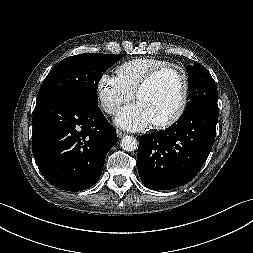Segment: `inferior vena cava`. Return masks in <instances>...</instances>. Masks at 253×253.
Here are the masks:
<instances>
[{"label":"inferior vena cava","instance_id":"inferior-vena-cava-1","mask_svg":"<svg viewBox=\"0 0 253 253\" xmlns=\"http://www.w3.org/2000/svg\"><path fill=\"white\" fill-rule=\"evenodd\" d=\"M116 112H117V107L116 106H109L108 113L115 114Z\"/></svg>","mask_w":253,"mask_h":253}]
</instances>
